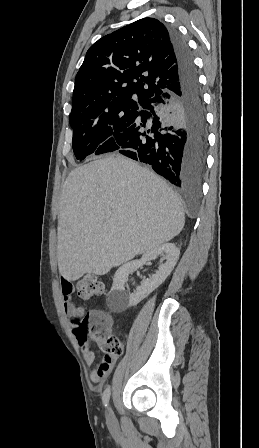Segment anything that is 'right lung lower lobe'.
<instances>
[{
	"mask_svg": "<svg viewBox=\"0 0 259 448\" xmlns=\"http://www.w3.org/2000/svg\"><path fill=\"white\" fill-rule=\"evenodd\" d=\"M166 28L176 58L179 86L142 105L134 122L116 139L113 151L151 165L176 187H198L207 148L202 93L186 41L175 28Z\"/></svg>",
	"mask_w": 259,
	"mask_h": 448,
	"instance_id": "98d812e1",
	"label": "right lung lower lobe"
}]
</instances>
